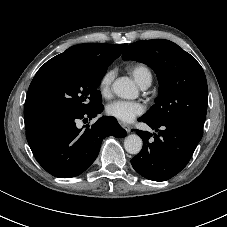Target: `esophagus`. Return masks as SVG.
I'll return each mask as SVG.
<instances>
[{"instance_id":"esophagus-1","label":"esophagus","mask_w":227,"mask_h":227,"mask_svg":"<svg viewBox=\"0 0 227 227\" xmlns=\"http://www.w3.org/2000/svg\"><path fill=\"white\" fill-rule=\"evenodd\" d=\"M120 125L125 129V131L127 133H130V131H131V126L130 125H128L126 123H123V122H120Z\"/></svg>"}]
</instances>
